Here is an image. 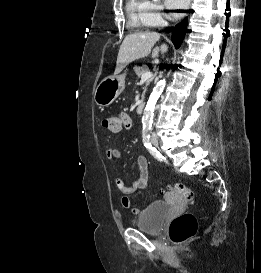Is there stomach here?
<instances>
[{
  "label": "stomach",
  "mask_w": 261,
  "mask_h": 273,
  "mask_svg": "<svg viewBox=\"0 0 261 273\" xmlns=\"http://www.w3.org/2000/svg\"><path fill=\"white\" fill-rule=\"evenodd\" d=\"M126 74L105 77L94 91V101L100 107L109 106L124 90Z\"/></svg>",
  "instance_id": "1"
}]
</instances>
